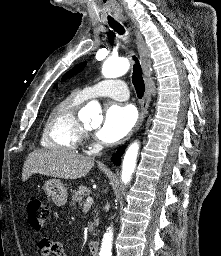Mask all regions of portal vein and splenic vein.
Returning <instances> with one entry per match:
<instances>
[{
    "mask_svg": "<svg viewBox=\"0 0 221 256\" xmlns=\"http://www.w3.org/2000/svg\"><path fill=\"white\" fill-rule=\"evenodd\" d=\"M92 203H93V199L91 197H87L84 207L85 208L89 207L90 205H92Z\"/></svg>",
    "mask_w": 221,
    "mask_h": 256,
    "instance_id": "18ae733b",
    "label": "portal vein and splenic vein"
}]
</instances>
